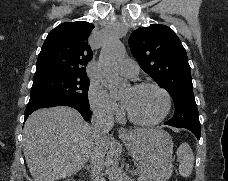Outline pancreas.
<instances>
[{
    "instance_id": "pancreas-1",
    "label": "pancreas",
    "mask_w": 228,
    "mask_h": 181,
    "mask_svg": "<svg viewBox=\"0 0 228 181\" xmlns=\"http://www.w3.org/2000/svg\"><path fill=\"white\" fill-rule=\"evenodd\" d=\"M139 171H140L139 175H141L142 181H146L147 177H144V175H146V173H147L146 169H142V167H140Z\"/></svg>"
}]
</instances>
